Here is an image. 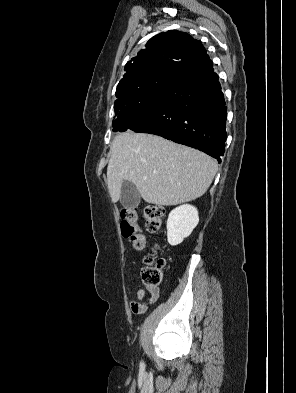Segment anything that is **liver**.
Returning <instances> with one entry per match:
<instances>
[{"label": "liver", "mask_w": 296, "mask_h": 393, "mask_svg": "<svg viewBox=\"0 0 296 393\" xmlns=\"http://www.w3.org/2000/svg\"><path fill=\"white\" fill-rule=\"evenodd\" d=\"M217 172L210 156L157 135L127 131L117 135L107 167L112 202L124 181L132 182L145 202L172 206L201 197Z\"/></svg>", "instance_id": "obj_1"}]
</instances>
